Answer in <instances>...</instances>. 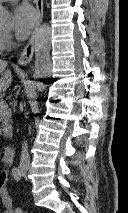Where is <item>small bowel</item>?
<instances>
[{
	"label": "small bowel",
	"mask_w": 128,
	"mask_h": 213,
	"mask_svg": "<svg viewBox=\"0 0 128 213\" xmlns=\"http://www.w3.org/2000/svg\"><path fill=\"white\" fill-rule=\"evenodd\" d=\"M8 179H9V172L2 171L0 173V199L2 205L4 206L3 213H13L14 211V202L7 189Z\"/></svg>",
	"instance_id": "1"
}]
</instances>
